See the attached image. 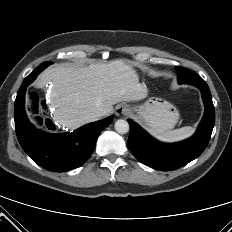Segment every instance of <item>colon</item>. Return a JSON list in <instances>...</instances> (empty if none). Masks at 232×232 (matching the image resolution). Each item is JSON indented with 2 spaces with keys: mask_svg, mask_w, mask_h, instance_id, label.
Masks as SVG:
<instances>
[{
  "mask_svg": "<svg viewBox=\"0 0 232 232\" xmlns=\"http://www.w3.org/2000/svg\"><path fill=\"white\" fill-rule=\"evenodd\" d=\"M31 112L38 118H41L45 110V101L36 93L30 94Z\"/></svg>",
  "mask_w": 232,
  "mask_h": 232,
  "instance_id": "1",
  "label": "colon"
}]
</instances>
